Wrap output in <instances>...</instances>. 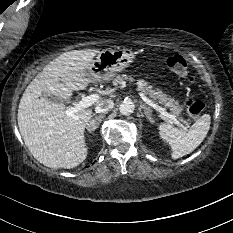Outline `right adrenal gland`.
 <instances>
[{
  "label": "right adrenal gland",
  "mask_w": 233,
  "mask_h": 233,
  "mask_svg": "<svg viewBox=\"0 0 233 233\" xmlns=\"http://www.w3.org/2000/svg\"><path fill=\"white\" fill-rule=\"evenodd\" d=\"M105 117V115H98L94 118H92L89 123H87L86 129L88 131H94L98 128V125L101 123L102 119Z\"/></svg>",
  "instance_id": "right-adrenal-gland-1"
}]
</instances>
